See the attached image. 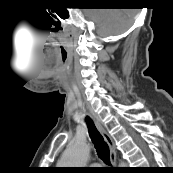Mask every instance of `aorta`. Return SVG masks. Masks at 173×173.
<instances>
[{"label":"aorta","mask_w":173,"mask_h":173,"mask_svg":"<svg viewBox=\"0 0 173 173\" xmlns=\"http://www.w3.org/2000/svg\"><path fill=\"white\" fill-rule=\"evenodd\" d=\"M90 153V147L85 140L79 139L72 143L62 155L60 165L63 167H83Z\"/></svg>","instance_id":"obj_1"}]
</instances>
